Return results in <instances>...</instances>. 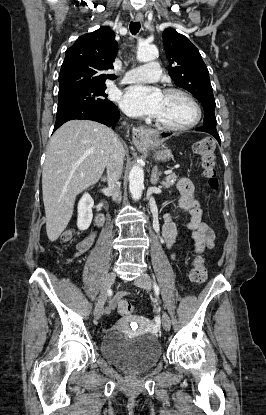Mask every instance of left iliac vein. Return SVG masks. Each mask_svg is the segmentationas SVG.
I'll return each mask as SVG.
<instances>
[{
    "instance_id": "1",
    "label": "left iliac vein",
    "mask_w": 266,
    "mask_h": 415,
    "mask_svg": "<svg viewBox=\"0 0 266 415\" xmlns=\"http://www.w3.org/2000/svg\"><path fill=\"white\" fill-rule=\"evenodd\" d=\"M134 284L145 290H150L152 287L151 279L147 273H142L139 277H137L134 280ZM162 326L166 331H169L171 328V320L166 312H163L162 314Z\"/></svg>"
}]
</instances>
